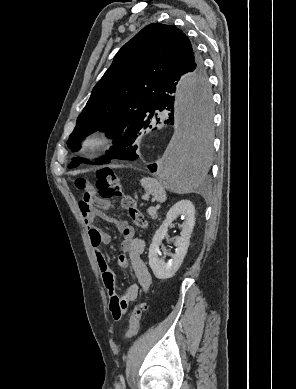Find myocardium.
<instances>
[{
	"mask_svg": "<svg viewBox=\"0 0 296 389\" xmlns=\"http://www.w3.org/2000/svg\"><path fill=\"white\" fill-rule=\"evenodd\" d=\"M109 136L102 131L86 135L81 141L82 153L89 157H96L99 152L108 144Z\"/></svg>",
	"mask_w": 296,
	"mask_h": 389,
	"instance_id": "f54148a6",
	"label": "myocardium"
}]
</instances>
